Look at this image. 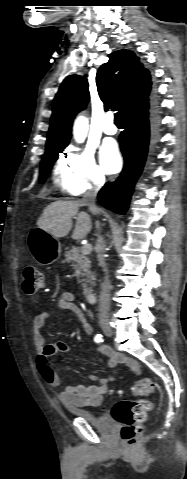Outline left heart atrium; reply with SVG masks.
Returning a JSON list of instances; mask_svg holds the SVG:
<instances>
[{
	"label": "left heart atrium",
	"instance_id": "1",
	"mask_svg": "<svg viewBox=\"0 0 187 479\" xmlns=\"http://www.w3.org/2000/svg\"><path fill=\"white\" fill-rule=\"evenodd\" d=\"M101 163L108 173H116L121 168V157L114 144H106L101 150Z\"/></svg>",
	"mask_w": 187,
	"mask_h": 479
}]
</instances>
